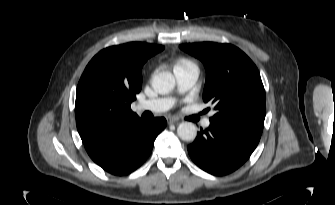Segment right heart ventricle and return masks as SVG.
<instances>
[{"label":"right heart ventricle","instance_id":"e07e8e85","mask_svg":"<svg viewBox=\"0 0 335 205\" xmlns=\"http://www.w3.org/2000/svg\"><path fill=\"white\" fill-rule=\"evenodd\" d=\"M180 63H188V61H181Z\"/></svg>","mask_w":335,"mask_h":205}]
</instances>
